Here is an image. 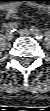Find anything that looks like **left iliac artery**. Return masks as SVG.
<instances>
[{
    "instance_id": "1",
    "label": "left iliac artery",
    "mask_w": 50,
    "mask_h": 111,
    "mask_svg": "<svg viewBox=\"0 0 50 111\" xmlns=\"http://www.w3.org/2000/svg\"><path fill=\"white\" fill-rule=\"evenodd\" d=\"M30 30L36 36L37 39H42L43 38V35H42L41 31L38 28L31 27Z\"/></svg>"
}]
</instances>
